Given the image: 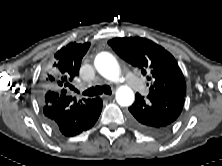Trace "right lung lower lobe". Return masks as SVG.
I'll return each mask as SVG.
<instances>
[{"mask_svg": "<svg viewBox=\"0 0 222 166\" xmlns=\"http://www.w3.org/2000/svg\"><path fill=\"white\" fill-rule=\"evenodd\" d=\"M42 105L49 126L68 137L90 129L102 110L100 97L76 101V98L53 91L45 93Z\"/></svg>", "mask_w": 222, "mask_h": 166, "instance_id": "obj_1", "label": "right lung lower lobe"}]
</instances>
